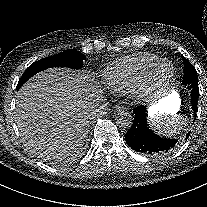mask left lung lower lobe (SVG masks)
Segmentation results:
<instances>
[{"mask_svg":"<svg viewBox=\"0 0 207 207\" xmlns=\"http://www.w3.org/2000/svg\"><path fill=\"white\" fill-rule=\"evenodd\" d=\"M191 105L196 117L199 88L197 83H190ZM135 117L131 128L125 135L127 144L135 151L145 154H163L172 150L178 143L177 139L163 138L155 134L147 124V110L145 106H138L133 110ZM189 134L187 135V137Z\"/></svg>","mask_w":207,"mask_h":207,"instance_id":"obj_1","label":"left lung lower lobe"}]
</instances>
